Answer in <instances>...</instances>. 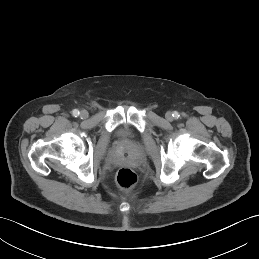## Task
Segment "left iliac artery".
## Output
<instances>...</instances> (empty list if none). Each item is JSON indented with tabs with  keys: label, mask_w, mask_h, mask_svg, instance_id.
I'll use <instances>...</instances> for the list:
<instances>
[{
	"label": "left iliac artery",
	"mask_w": 259,
	"mask_h": 259,
	"mask_svg": "<svg viewBox=\"0 0 259 259\" xmlns=\"http://www.w3.org/2000/svg\"><path fill=\"white\" fill-rule=\"evenodd\" d=\"M173 117L178 118L179 117L178 112H174Z\"/></svg>",
	"instance_id": "44dca946"
}]
</instances>
